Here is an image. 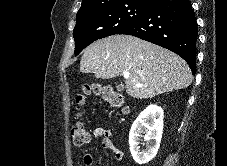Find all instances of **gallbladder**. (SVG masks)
<instances>
[{
	"instance_id": "1",
	"label": "gallbladder",
	"mask_w": 227,
	"mask_h": 166,
	"mask_svg": "<svg viewBox=\"0 0 227 166\" xmlns=\"http://www.w3.org/2000/svg\"><path fill=\"white\" fill-rule=\"evenodd\" d=\"M118 89L119 90H123V86L122 85H118Z\"/></svg>"
}]
</instances>
